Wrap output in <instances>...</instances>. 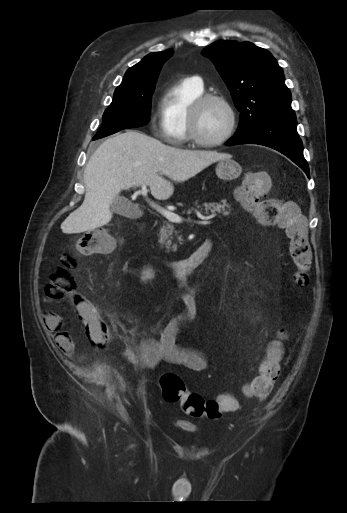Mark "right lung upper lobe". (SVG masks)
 <instances>
[{"label": "right lung upper lobe", "instance_id": "obj_1", "mask_svg": "<svg viewBox=\"0 0 347 513\" xmlns=\"http://www.w3.org/2000/svg\"><path fill=\"white\" fill-rule=\"evenodd\" d=\"M173 54V50L153 52L129 68L118 88L143 87L157 81L162 65Z\"/></svg>", "mask_w": 347, "mask_h": 513}]
</instances>
